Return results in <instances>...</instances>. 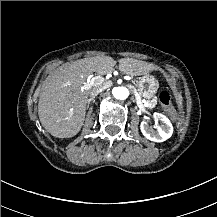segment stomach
I'll list each match as a JSON object with an SVG mask.
<instances>
[{
    "mask_svg": "<svg viewBox=\"0 0 217 217\" xmlns=\"http://www.w3.org/2000/svg\"><path fill=\"white\" fill-rule=\"evenodd\" d=\"M159 88V82L155 76L145 74L138 79L137 90L145 98H152L155 96Z\"/></svg>",
    "mask_w": 217,
    "mask_h": 217,
    "instance_id": "stomach-1",
    "label": "stomach"
}]
</instances>
